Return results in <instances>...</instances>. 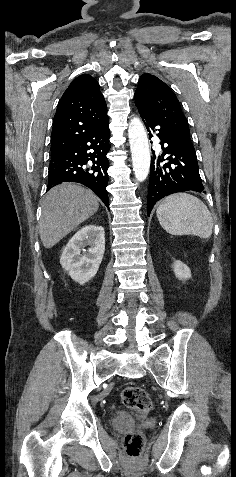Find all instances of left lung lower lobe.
<instances>
[{
  "mask_svg": "<svg viewBox=\"0 0 236 477\" xmlns=\"http://www.w3.org/2000/svg\"><path fill=\"white\" fill-rule=\"evenodd\" d=\"M138 110L149 132V138L153 137L152 133H156L163 150L160 156L152 151L147 215H150L155 203L167 195L184 191L206 194L195 149L177 141L143 109L138 107ZM163 161L166 163L160 164Z\"/></svg>",
  "mask_w": 236,
  "mask_h": 477,
  "instance_id": "1",
  "label": "left lung lower lobe"
}]
</instances>
